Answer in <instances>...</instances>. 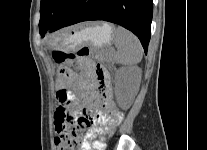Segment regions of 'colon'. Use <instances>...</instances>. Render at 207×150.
Instances as JSON below:
<instances>
[{"mask_svg":"<svg viewBox=\"0 0 207 150\" xmlns=\"http://www.w3.org/2000/svg\"><path fill=\"white\" fill-rule=\"evenodd\" d=\"M90 54L88 48H82L77 53H68L60 49L53 51L54 61L61 65L59 76L61 82H66V86L57 87V104L55 106L54 117H51V122H54V132H58L55 139L56 150H79V148L88 140L86 129L92 124V117L88 110L84 109L78 118V126H72L71 112L77 106L74 97L73 77H69L67 70L68 66L75 63L78 57H85Z\"/></svg>","mask_w":207,"mask_h":150,"instance_id":"colon-1","label":"colon"}]
</instances>
